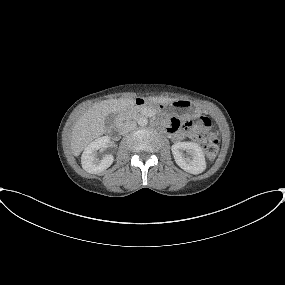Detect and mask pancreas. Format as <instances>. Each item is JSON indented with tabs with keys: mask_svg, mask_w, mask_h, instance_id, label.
<instances>
[{
	"mask_svg": "<svg viewBox=\"0 0 285 285\" xmlns=\"http://www.w3.org/2000/svg\"><path fill=\"white\" fill-rule=\"evenodd\" d=\"M146 112L150 111L144 108L129 107L121 114V120L125 121V120L135 119L139 117L141 114H145Z\"/></svg>",
	"mask_w": 285,
	"mask_h": 285,
	"instance_id": "1",
	"label": "pancreas"
}]
</instances>
